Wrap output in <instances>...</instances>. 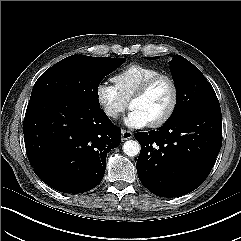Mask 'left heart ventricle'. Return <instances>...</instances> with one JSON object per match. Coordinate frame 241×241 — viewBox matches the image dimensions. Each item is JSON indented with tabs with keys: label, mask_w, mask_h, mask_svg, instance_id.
Returning a JSON list of instances; mask_svg holds the SVG:
<instances>
[{
	"label": "left heart ventricle",
	"mask_w": 241,
	"mask_h": 241,
	"mask_svg": "<svg viewBox=\"0 0 241 241\" xmlns=\"http://www.w3.org/2000/svg\"><path fill=\"white\" fill-rule=\"evenodd\" d=\"M172 99L169 82H157L146 95L131 102L130 108L139 112L148 123L160 118L168 109Z\"/></svg>",
	"instance_id": "1"
}]
</instances>
